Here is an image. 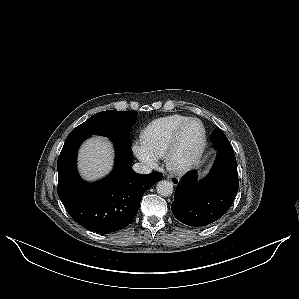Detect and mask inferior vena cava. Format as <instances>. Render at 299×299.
<instances>
[{"mask_svg": "<svg viewBox=\"0 0 299 299\" xmlns=\"http://www.w3.org/2000/svg\"><path fill=\"white\" fill-rule=\"evenodd\" d=\"M132 168L139 174H149L152 171V169L144 163H135Z\"/></svg>", "mask_w": 299, "mask_h": 299, "instance_id": "1", "label": "inferior vena cava"}]
</instances>
